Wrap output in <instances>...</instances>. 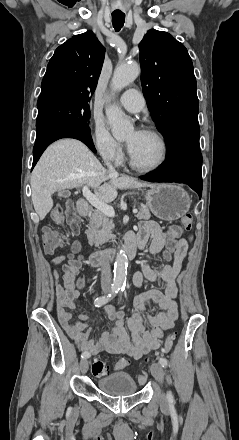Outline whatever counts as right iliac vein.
Instances as JSON below:
<instances>
[{"label":"right iliac vein","mask_w":239,"mask_h":440,"mask_svg":"<svg viewBox=\"0 0 239 440\" xmlns=\"http://www.w3.org/2000/svg\"><path fill=\"white\" fill-rule=\"evenodd\" d=\"M80 370L83 374L87 373L88 371V361L87 359H82L80 362Z\"/></svg>","instance_id":"obj_1"}]
</instances>
